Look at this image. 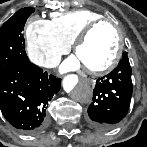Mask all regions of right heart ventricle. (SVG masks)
Returning a JSON list of instances; mask_svg holds the SVG:
<instances>
[{"mask_svg": "<svg viewBox=\"0 0 147 147\" xmlns=\"http://www.w3.org/2000/svg\"><path fill=\"white\" fill-rule=\"evenodd\" d=\"M100 18L101 15L94 11L79 9L66 13H53L50 22L56 38L60 42L70 45L88 24Z\"/></svg>", "mask_w": 147, "mask_h": 147, "instance_id": "right-heart-ventricle-1", "label": "right heart ventricle"}]
</instances>
